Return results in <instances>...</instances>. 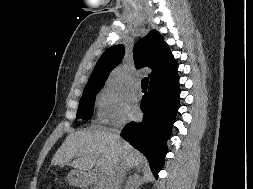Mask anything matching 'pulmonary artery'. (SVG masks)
<instances>
[{
  "mask_svg": "<svg viewBox=\"0 0 253 189\" xmlns=\"http://www.w3.org/2000/svg\"><path fill=\"white\" fill-rule=\"evenodd\" d=\"M134 89L137 90V91H139V90L141 89V84H140V82H136V83L134 84Z\"/></svg>",
  "mask_w": 253,
  "mask_h": 189,
  "instance_id": "1",
  "label": "pulmonary artery"
}]
</instances>
